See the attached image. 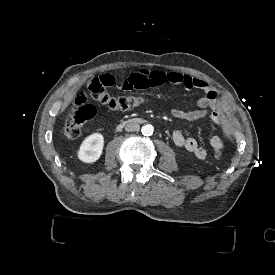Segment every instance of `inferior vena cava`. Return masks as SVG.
I'll list each match as a JSON object with an SVG mask.
<instances>
[{"label":"inferior vena cava","mask_w":275,"mask_h":275,"mask_svg":"<svg viewBox=\"0 0 275 275\" xmlns=\"http://www.w3.org/2000/svg\"><path fill=\"white\" fill-rule=\"evenodd\" d=\"M139 129H140V125L138 123H135V122L128 123L125 126V130L128 131V132L139 131Z\"/></svg>","instance_id":"1"}]
</instances>
